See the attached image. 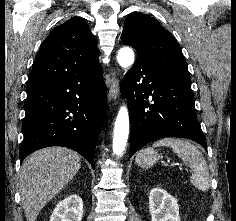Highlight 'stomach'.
Listing matches in <instances>:
<instances>
[{
	"label": "stomach",
	"instance_id": "stomach-1",
	"mask_svg": "<svg viewBox=\"0 0 236 221\" xmlns=\"http://www.w3.org/2000/svg\"><path fill=\"white\" fill-rule=\"evenodd\" d=\"M159 154L153 148H145L136 156V163L141 167H150L159 160Z\"/></svg>",
	"mask_w": 236,
	"mask_h": 221
}]
</instances>
